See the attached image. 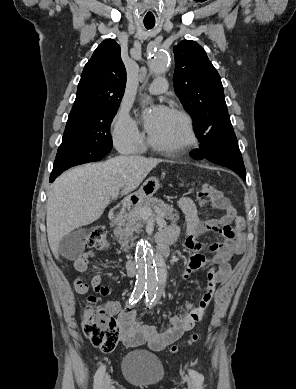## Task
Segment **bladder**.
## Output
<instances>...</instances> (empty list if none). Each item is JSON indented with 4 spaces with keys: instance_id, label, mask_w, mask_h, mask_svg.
Masks as SVG:
<instances>
[{
    "instance_id": "31cf9c89",
    "label": "bladder",
    "mask_w": 296,
    "mask_h": 389,
    "mask_svg": "<svg viewBox=\"0 0 296 389\" xmlns=\"http://www.w3.org/2000/svg\"><path fill=\"white\" fill-rule=\"evenodd\" d=\"M122 374L136 387H150L159 384L165 375L161 360L146 350L128 351L122 358Z\"/></svg>"
}]
</instances>
